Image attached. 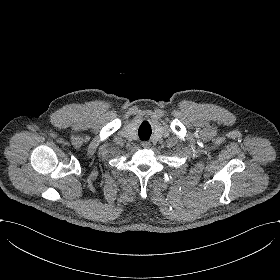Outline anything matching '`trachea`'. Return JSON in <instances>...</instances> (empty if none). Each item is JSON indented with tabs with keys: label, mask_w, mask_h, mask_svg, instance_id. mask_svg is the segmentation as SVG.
Returning a JSON list of instances; mask_svg holds the SVG:
<instances>
[{
	"label": "trachea",
	"mask_w": 280,
	"mask_h": 280,
	"mask_svg": "<svg viewBox=\"0 0 280 280\" xmlns=\"http://www.w3.org/2000/svg\"><path fill=\"white\" fill-rule=\"evenodd\" d=\"M139 137L141 140H148L151 135V128L146 129L143 127V124L140 126L139 131H138Z\"/></svg>",
	"instance_id": "3493384b"
}]
</instances>
